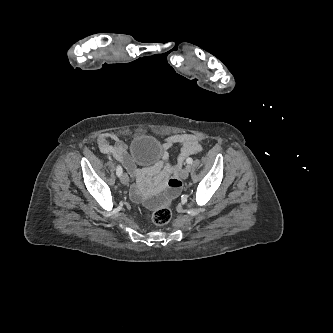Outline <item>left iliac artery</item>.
Here are the masks:
<instances>
[{
	"mask_svg": "<svg viewBox=\"0 0 333 333\" xmlns=\"http://www.w3.org/2000/svg\"><path fill=\"white\" fill-rule=\"evenodd\" d=\"M186 162H187V164H192L193 159H192V158H188V159L186 160ZM189 169H190V167H189Z\"/></svg>",
	"mask_w": 333,
	"mask_h": 333,
	"instance_id": "1",
	"label": "left iliac artery"
}]
</instances>
